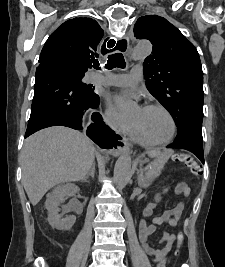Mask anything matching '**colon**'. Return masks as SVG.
I'll list each match as a JSON object with an SVG mask.
<instances>
[{"instance_id": "5ec220e1", "label": "colon", "mask_w": 225, "mask_h": 267, "mask_svg": "<svg viewBox=\"0 0 225 267\" xmlns=\"http://www.w3.org/2000/svg\"><path fill=\"white\" fill-rule=\"evenodd\" d=\"M176 160L184 163L194 175H198L200 173V167L197 162L187 154H179L175 157ZM183 244V234L180 232L177 235V243H176V250L175 255L178 256ZM157 267H165V261L162 260L159 262Z\"/></svg>"}]
</instances>
